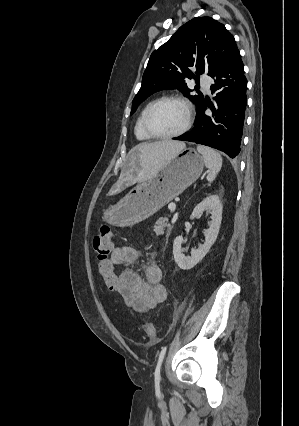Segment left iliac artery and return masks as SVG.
<instances>
[{
    "instance_id": "left-iliac-artery-1",
    "label": "left iliac artery",
    "mask_w": 299,
    "mask_h": 426,
    "mask_svg": "<svg viewBox=\"0 0 299 426\" xmlns=\"http://www.w3.org/2000/svg\"><path fill=\"white\" fill-rule=\"evenodd\" d=\"M166 350H167V346H164L162 348L160 354H159V359H158L157 366H156L155 373H154L156 386H159V382H160V379H161L160 369H161V365H162Z\"/></svg>"
}]
</instances>
